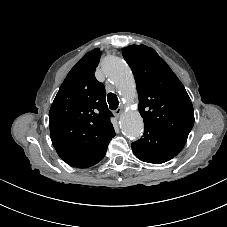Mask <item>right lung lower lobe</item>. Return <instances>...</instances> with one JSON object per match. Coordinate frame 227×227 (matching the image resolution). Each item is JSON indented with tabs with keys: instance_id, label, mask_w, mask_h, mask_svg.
I'll return each instance as SVG.
<instances>
[{
	"instance_id": "98d812e1",
	"label": "right lung lower lobe",
	"mask_w": 227,
	"mask_h": 227,
	"mask_svg": "<svg viewBox=\"0 0 227 227\" xmlns=\"http://www.w3.org/2000/svg\"><path fill=\"white\" fill-rule=\"evenodd\" d=\"M104 155H105V154H104ZM104 155H102V157L99 158L98 160H96V161H94V162H92V163H90V164H88V165L82 166V167H80V168H87V167H90V166L95 165L96 163H98V162L104 157Z\"/></svg>"
}]
</instances>
